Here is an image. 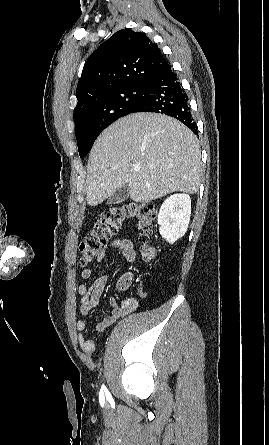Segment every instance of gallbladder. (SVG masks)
<instances>
[{
    "label": "gallbladder",
    "mask_w": 269,
    "mask_h": 445,
    "mask_svg": "<svg viewBox=\"0 0 269 445\" xmlns=\"http://www.w3.org/2000/svg\"><path fill=\"white\" fill-rule=\"evenodd\" d=\"M129 198V187L124 185L118 188L108 199L109 205L119 204Z\"/></svg>",
    "instance_id": "obj_1"
}]
</instances>
